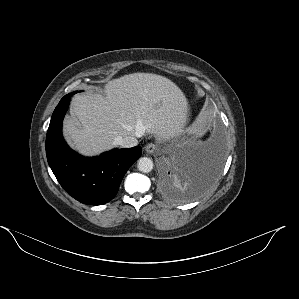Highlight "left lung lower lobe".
<instances>
[{
	"label": "left lung lower lobe",
	"instance_id": "left-lung-lower-lobe-1",
	"mask_svg": "<svg viewBox=\"0 0 299 299\" xmlns=\"http://www.w3.org/2000/svg\"><path fill=\"white\" fill-rule=\"evenodd\" d=\"M225 148L218 139L196 150L183 151L161 169L160 189L174 200L201 194L217 179L224 160Z\"/></svg>",
	"mask_w": 299,
	"mask_h": 299
}]
</instances>
